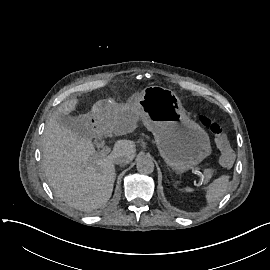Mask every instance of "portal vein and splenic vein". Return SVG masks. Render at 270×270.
Here are the masks:
<instances>
[{
	"mask_svg": "<svg viewBox=\"0 0 270 270\" xmlns=\"http://www.w3.org/2000/svg\"><path fill=\"white\" fill-rule=\"evenodd\" d=\"M110 152V149L108 148V147H104V148H101L100 150H99V153L101 154V155H105V154H108ZM191 172H195L198 176L199 175H201V177H204V174H201V170L200 169H191ZM204 183H206V181L204 180L203 181Z\"/></svg>",
	"mask_w": 270,
	"mask_h": 270,
	"instance_id": "obj_1",
	"label": "portal vein and splenic vein"
}]
</instances>
